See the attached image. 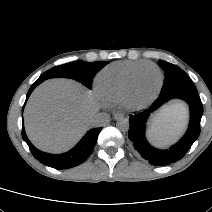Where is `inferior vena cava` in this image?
I'll return each instance as SVG.
<instances>
[{
  "label": "inferior vena cava",
  "mask_w": 212,
  "mask_h": 212,
  "mask_svg": "<svg viewBox=\"0 0 212 212\" xmlns=\"http://www.w3.org/2000/svg\"><path fill=\"white\" fill-rule=\"evenodd\" d=\"M109 119V115L106 113L95 114L91 118V125L94 127H100L105 125L106 121Z\"/></svg>",
  "instance_id": "obj_1"
}]
</instances>
